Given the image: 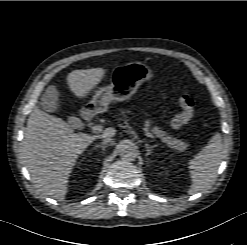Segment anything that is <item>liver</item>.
Returning <instances> with one entry per match:
<instances>
[{"mask_svg": "<svg viewBox=\"0 0 247 245\" xmlns=\"http://www.w3.org/2000/svg\"><path fill=\"white\" fill-rule=\"evenodd\" d=\"M105 72L103 68L74 70L66 78L67 85L76 97L84 99L101 82ZM115 134L112 127L99 136L74 133L68 123L36 107L27 121L22 151L35 187L63 201L70 173L79 156L96 139Z\"/></svg>", "mask_w": 247, "mask_h": 245, "instance_id": "6515ba94", "label": "liver"}]
</instances>
